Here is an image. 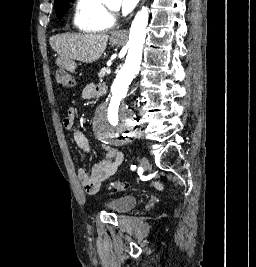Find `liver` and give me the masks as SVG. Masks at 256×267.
<instances>
[{"label":"liver","instance_id":"1","mask_svg":"<svg viewBox=\"0 0 256 267\" xmlns=\"http://www.w3.org/2000/svg\"><path fill=\"white\" fill-rule=\"evenodd\" d=\"M119 32H112L117 38ZM109 36L107 34H57L49 44L62 60H78L91 64L104 54Z\"/></svg>","mask_w":256,"mask_h":267}]
</instances>
